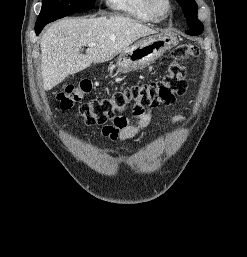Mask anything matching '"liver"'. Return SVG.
<instances>
[{
    "mask_svg": "<svg viewBox=\"0 0 247 257\" xmlns=\"http://www.w3.org/2000/svg\"><path fill=\"white\" fill-rule=\"evenodd\" d=\"M156 31L123 16L65 18L50 25L43 34L41 74L46 91L92 63H102L125 51L141 37ZM95 43V46H88ZM88 46L86 54H81Z\"/></svg>",
    "mask_w": 247,
    "mask_h": 257,
    "instance_id": "6515ba94",
    "label": "liver"
}]
</instances>
